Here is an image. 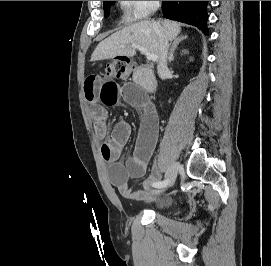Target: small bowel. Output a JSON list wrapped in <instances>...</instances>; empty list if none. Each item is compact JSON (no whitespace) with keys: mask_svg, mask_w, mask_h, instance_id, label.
Here are the masks:
<instances>
[{"mask_svg":"<svg viewBox=\"0 0 271 266\" xmlns=\"http://www.w3.org/2000/svg\"><path fill=\"white\" fill-rule=\"evenodd\" d=\"M84 94L90 104V115L95 134L102 140L101 153L110 163L109 178L120 194L128 200L155 202L158 197L151 188L160 177L157 169L143 182V190L134 191L129 186L130 178H140L147 170L158 137V116L152 104L133 83L118 84L102 74L89 75L84 82ZM120 100L142 111L134 152L125 161L119 160L124 146L130 139L131 126L120 119L108 136L107 111L105 106H116Z\"/></svg>","mask_w":271,"mask_h":266,"instance_id":"1","label":"small bowel"}]
</instances>
